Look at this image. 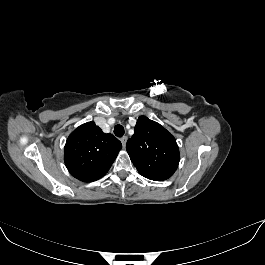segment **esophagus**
<instances>
[{
	"mask_svg": "<svg viewBox=\"0 0 265 265\" xmlns=\"http://www.w3.org/2000/svg\"><path fill=\"white\" fill-rule=\"evenodd\" d=\"M127 136H123L122 138H121V143H122V145H123V147L125 148V146H126V142H127Z\"/></svg>",
	"mask_w": 265,
	"mask_h": 265,
	"instance_id": "1",
	"label": "esophagus"
}]
</instances>
